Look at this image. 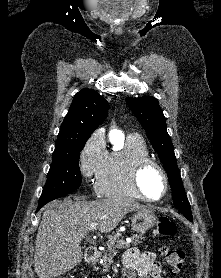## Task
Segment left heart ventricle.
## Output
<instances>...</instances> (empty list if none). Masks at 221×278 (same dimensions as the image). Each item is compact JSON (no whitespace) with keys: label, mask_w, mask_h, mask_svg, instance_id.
<instances>
[{"label":"left heart ventricle","mask_w":221,"mask_h":278,"mask_svg":"<svg viewBox=\"0 0 221 278\" xmlns=\"http://www.w3.org/2000/svg\"><path fill=\"white\" fill-rule=\"evenodd\" d=\"M142 184L146 193L152 198H158L163 193V179L160 173L154 168H150L144 173Z\"/></svg>","instance_id":"1"}]
</instances>
